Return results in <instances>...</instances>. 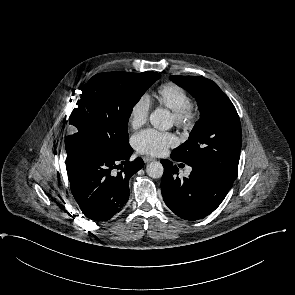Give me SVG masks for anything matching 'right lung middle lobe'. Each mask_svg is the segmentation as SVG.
Masks as SVG:
<instances>
[{"label":"right lung middle lobe","mask_w":295,"mask_h":295,"mask_svg":"<svg viewBox=\"0 0 295 295\" xmlns=\"http://www.w3.org/2000/svg\"><path fill=\"white\" fill-rule=\"evenodd\" d=\"M159 77L155 72L94 75L68 119L76 133L65 139L67 159L90 148L124 152L130 146L127 127L132 109Z\"/></svg>","instance_id":"right-lung-middle-lobe-1"}]
</instances>
